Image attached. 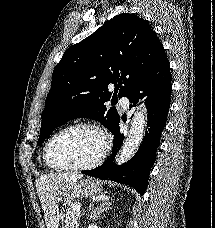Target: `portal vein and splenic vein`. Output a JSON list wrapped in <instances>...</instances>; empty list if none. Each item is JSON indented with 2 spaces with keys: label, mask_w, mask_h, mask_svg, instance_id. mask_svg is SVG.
I'll return each instance as SVG.
<instances>
[{
  "label": "portal vein and splenic vein",
  "mask_w": 215,
  "mask_h": 228,
  "mask_svg": "<svg viewBox=\"0 0 215 228\" xmlns=\"http://www.w3.org/2000/svg\"><path fill=\"white\" fill-rule=\"evenodd\" d=\"M73 208H74V210H79V212H80L81 206H80V204H74Z\"/></svg>",
  "instance_id": "portal-vein-and-splenic-vein-1"
}]
</instances>
